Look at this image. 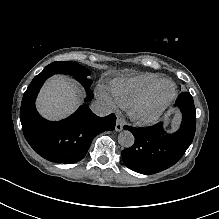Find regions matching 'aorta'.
Listing matches in <instances>:
<instances>
[{
  "label": "aorta",
  "instance_id": "obj_1",
  "mask_svg": "<svg viewBox=\"0 0 219 219\" xmlns=\"http://www.w3.org/2000/svg\"><path fill=\"white\" fill-rule=\"evenodd\" d=\"M135 138L133 134L128 131L124 130L119 133L118 135V143L125 148H130L134 144Z\"/></svg>",
  "mask_w": 219,
  "mask_h": 219
}]
</instances>
